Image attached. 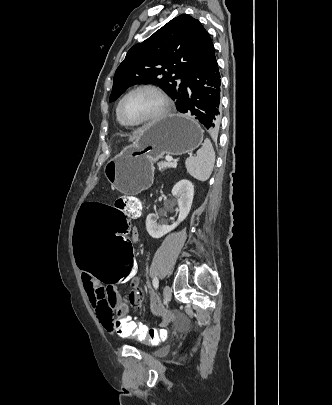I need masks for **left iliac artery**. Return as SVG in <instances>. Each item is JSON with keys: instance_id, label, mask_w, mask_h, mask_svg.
Instances as JSON below:
<instances>
[{"instance_id": "44dca946", "label": "left iliac artery", "mask_w": 332, "mask_h": 405, "mask_svg": "<svg viewBox=\"0 0 332 405\" xmlns=\"http://www.w3.org/2000/svg\"><path fill=\"white\" fill-rule=\"evenodd\" d=\"M153 286H154L155 289H157L158 286H159V280H158L157 277H155V278L153 279Z\"/></svg>"}]
</instances>
